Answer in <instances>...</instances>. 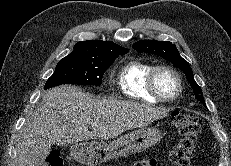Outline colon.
Returning a JSON list of instances; mask_svg holds the SVG:
<instances>
[{
	"label": "colon",
	"mask_w": 231,
	"mask_h": 166,
	"mask_svg": "<svg viewBox=\"0 0 231 166\" xmlns=\"http://www.w3.org/2000/svg\"><path fill=\"white\" fill-rule=\"evenodd\" d=\"M173 123L179 134V140L169 154L170 162L175 166H189L195 151L200 132L199 119L192 114L173 112ZM156 160L143 158L134 161L130 166H156ZM47 166H63L59 151H52L47 157Z\"/></svg>",
	"instance_id": "5ec220e1"
}]
</instances>
